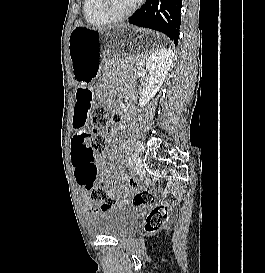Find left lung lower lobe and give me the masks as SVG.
<instances>
[{
	"label": "left lung lower lobe",
	"mask_w": 265,
	"mask_h": 273,
	"mask_svg": "<svg viewBox=\"0 0 265 273\" xmlns=\"http://www.w3.org/2000/svg\"><path fill=\"white\" fill-rule=\"evenodd\" d=\"M182 0H147L129 23L166 34L178 44Z\"/></svg>",
	"instance_id": "1"
}]
</instances>
